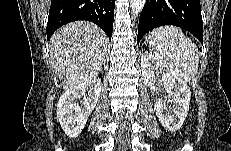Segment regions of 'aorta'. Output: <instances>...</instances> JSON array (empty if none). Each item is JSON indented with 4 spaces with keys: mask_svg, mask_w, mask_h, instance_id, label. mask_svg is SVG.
Masks as SVG:
<instances>
[{
    "mask_svg": "<svg viewBox=\"0 0 231 151\" xmlns=\"http://www.w3.org/2000/svg\"><path fill=\"white\" fill-rule=\"evenodd\" d=\"M146 0H131V13L135 17L143 9Z\"/></svg>",
    "mask_w": 231,
    "mask_h": 151,
    "instance_id": "obj_1",
    "label": "aorta"
}]
</instances>
